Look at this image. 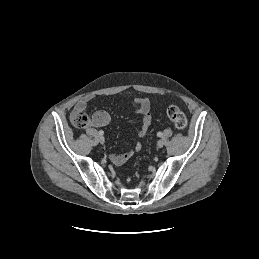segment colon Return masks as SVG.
Here are the masks:
<instances>
[{
  "mask_svg": "<svg viewBox=\"0 0 259 259\" xmlns=\"http://www.w3.org/2000/svg\"><path fill=\"white\" fill-rule=\"evenodd\" d=\"M167 117L178 129H185L187 127V118L185 114L176 106H170L166 111ZM71 121L74 126L78 128L86 127L90 120L85 111L74 110L71 114Z\"/></svg>",
  "mask_w": 259,
  "mask_h": 259,
  "instance_id": "1",
  "label": "colon"
}]
</instances>
